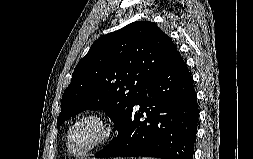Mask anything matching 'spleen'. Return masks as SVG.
I'll return each instance as SVG.
<instances>
[{
  "label": "spleen",
  "mask_w": 253,
  "mask_h": 159,
  "mask_svg": "<svg viewBox=\"0 0 253 159\" xmlns=\"http://www.w3.org/2000/svg\"><path fill=\"white\" fill-rule=\"evenodd\" d=\"M142 159H155V158H142ZM157 159V158H156Z\"/></svg>",
  "instance_id": "1"
}]
</instances>
